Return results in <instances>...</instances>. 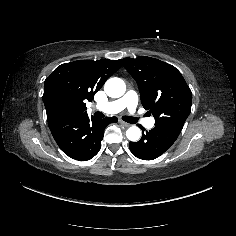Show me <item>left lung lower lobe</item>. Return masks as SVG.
<instances>
[{
    "label": "left lung lower lobe",
    "instance_id": "1",
    "mask_svg": "<svg viewBox=\"0 0 236 236\" xmlns=\"http://www.w3.org/2000/svg\"><path fill=\"white\" fill-rule=\"evenodd\" d=\"M142 130L145 129L140 126ZM180 127L158 125L146 131L138 142H130L129 148L134 156L143 160H153L165 153L178 138Z\"/></svg>",
    "mask_w": 236,
    "mask_h": 236
}]
</instances>
